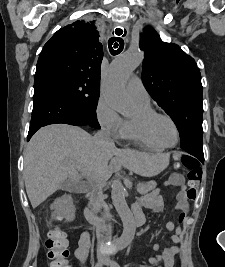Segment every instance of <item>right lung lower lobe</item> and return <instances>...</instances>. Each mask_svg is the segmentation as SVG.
I'll return each mask as SVG.
<instances>
[{"label":"right lung lower lobe","instance_id":"1","mask_svg":"<svg viewBox=\"0 0 225 267\" xmlns=\"http://www.w3.org/2000/svg\"><path fill=\"white\" fill-rule=\"evenodd\" d=\"M33 103L27 141L38 129L49 124L90 126L84 113L73 104L67 94L45 76L34 78Z\"/></svg>","mask_w":225,"mask_h":267}]
</instances>
